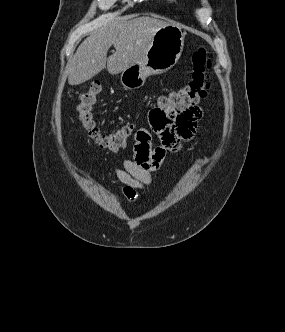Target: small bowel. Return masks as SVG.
<instances>
[{"instance_id": "small-bowel-1", "label": "small bowel", "mask_w": 285, "mask_h": 332, "mask_svg": "<svg viewBox=\"0 0 285 332\" xmlns=\"http://www.w3.org/2000/svg\"><path fill=\"white\" fill-rule=\"evenodd\" d=\"M201 117L202 110L198 106L182 113L177 107L150 106L148 126L151 133L158 134L161 145L153 147L150 131L140 128L135 136L133 158L124 159L122 167L115 169L128 200L134 201L137 190L146 192V187L154 184L152 173L160 166L166 152L177 150L182 141L190 140Z\"/></svg>"}]
</instances>
